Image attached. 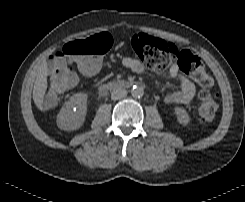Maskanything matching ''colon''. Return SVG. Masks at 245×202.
<instances>
[{"mask_svg":"<svg viewBox=\"0 0 245 202\" xmlns=\"http://www.w3.org/2000/svg\"><path fill=\"white\" fill-rule=\"evenodd\" d=\"M114 43L109 33L93 35L83 41L67 42L52 55L50 68V91L56 96L71 89L74 74L71 65H77L85 73H90L89 57H98L108 51ZM129 44L135 56L150 70L160 73L170 64L176 63L185 73L192 74L204 89L200 94L197 109L202 122L213 120L218 112L217 97L211 91L213 79L205 73L203 61L192 52L179 48L174 43L143 33L130 37ZM94 63V62H93Z\"/></svg>","mask_w":245,"mask_h":202,"instance_id":"colon-1","label":"colon"}]
</instances>
